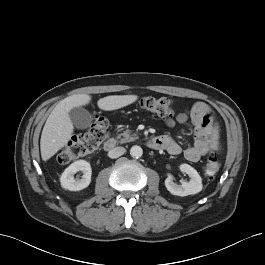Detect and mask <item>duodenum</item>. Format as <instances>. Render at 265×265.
Segmentation results:
<instances>
[{
	"label": "duodenum",
	"instance_id": "410a0bca",
	"mask_svg": "<svg viewBox=\"0 0 265 265\" xmlns=\"http://www.w3.org/2000/svg\"><path fill=\"white\" fill-rule=\"evenodd\" d=\"M148 145L153 149H163L164 141L161 137H154L148 141ZM115 146H116V141L113 138H111L105 142L104 149L106 151H111L115 148Z\"/></svg>",
	"mask_w": 265,
	"mask_h": 265
}]
</instances>
